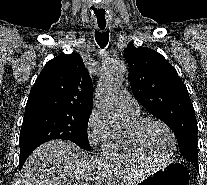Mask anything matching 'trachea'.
I'll return each mask as SVG.
<instances>
[{
	"instance_id": "trachea-1",
	"label": "trachea",
	"mask_w": 207,
	"mask_h": 185,
	"mask_svg": "<svg viewBox=\"0 0 207 185\" xmlns=\"http://www.w3.org/2000/svg\"><path fill=\"white\" fill-rule=\"evenodd\" d=\"M95 39L98 43V45L101 47V48H104L107 44H108V41H109V30L105 31V32H99V31H95Z\"/></svg>"
}]
</instances>
